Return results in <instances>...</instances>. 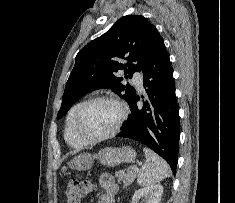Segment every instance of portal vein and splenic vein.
I'll use <instances>...</instances> for the list:
<instances>
[{
    "instance_id": "obj_1",
    "label": "portal vein and splenic vein",
    "mask_w": 235,
    "mask_h": 203,
    "mask_svg": "<svg viewBox=\"0 0 235 203\" xmlns=\"http://www.w3.org/2000/svg\"><path fill=\"white\" fill-rule=\"evenodd\" d=\"M133 168H134V171H136V172L138 171V168H137L136 166H135V167H133Z\"/></svg>"
}]
</instances>
